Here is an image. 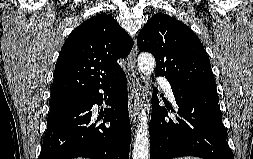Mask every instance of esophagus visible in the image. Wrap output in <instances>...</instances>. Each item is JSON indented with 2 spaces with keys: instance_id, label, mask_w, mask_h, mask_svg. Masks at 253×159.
Listing matches in <instances>:
<instances>
[{
  "instance_id": "34e87169",
  "label": "esophagus",
  "mask_w": 253,
  "mask_h": 159,
  "mask_svg": "<svg viewBox=\"0 0 253 159\" xmlns=\"http://www.w3.org/2000/svg\"><path fill=\"white\" fill-rule=\"evenodd\" d=\"M127 78L130 88L129 96V116L132 122H137L139 113V96H140V81L137 72V44L134 42V46L128 57V69Z\"/></svg>"
}]
</instances>
